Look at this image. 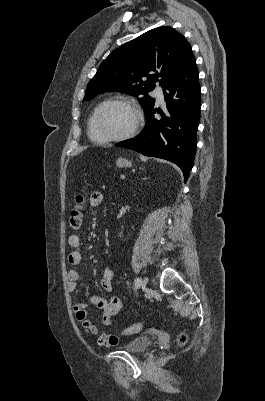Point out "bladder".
I'll return each mask as SVG.
<instances>
[{
  "label": "bladder",
  "mask_w": 265,
  "mask_h": 401,
  "mask_svg": "<svg viewBox=\"0 0 265 401\" xmlns=\"http://www.w3.org/2000/svg\"><path fill=\"white\" fill-rule=\"evenodd\" d=\"M152 345V341L149 337L139 336L135 337L130 343L122 346L123 350H126L133 354H141L145 352Z\"/></svg>",
  "instance_id": "bladder-1"
}]
</instances>
